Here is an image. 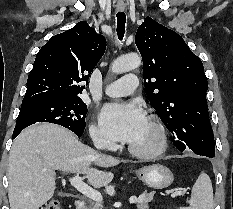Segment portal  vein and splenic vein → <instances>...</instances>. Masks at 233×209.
<instances>
[{
    "label": "portal vein and splenic vein",
    "instance_id": "portal-vein-and-splenic-vein-1",
    "mask_svg": "<svg viewBox=\"0 0 233 209\" xmlns=\"http://www.w3.org/2000/svg\"><path fill=\"white\" fill-rule=\"evenodd\" d=\"M69 180H70L71 185L77 191H79L80 193H82L84 196L92 199L93 201H95L97 203H101L102 202L103 197H102L101 193L99 191L91 188L86 183H84L79 176H74V177L70 178ZM179 194L180 193L177 192V193L172 194V196H176V195H179ZM139 199H140V197L137 198L135 196H132V197H130L129 202L131 204H133V203H136Z\"/></svg>",
    "mask_w": 233,
    "mask_h": 209
}]
</instances>
